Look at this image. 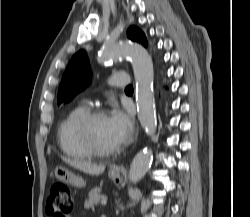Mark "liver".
<instances>
[{
    "instance_id": "6515ba94",
    "label": "liver",
    "mask_w": 250,
    "mask_h": 217,
    "mask_svg": "<svg viewBox=\"0 0 250 217\" xmlns=\"http://www.w3.org/2000/svg\"><path fill=\"white\" fill-rule=\"evenodd\" d=\"M63 161H65L70 166L79 169L80 171H83L89 175H100L104 172L105 166L104 165H96L89 161H83V160H71L68 158H63Z\"/></svg>"
}]
</instances>
